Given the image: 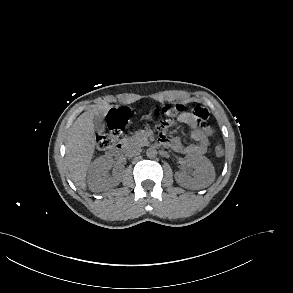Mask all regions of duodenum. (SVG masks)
<instances>
[{
	"label": "duodenum",
	"mask_w": 293,
	"mask_h": 293,
	"mask_svg": "<svg viewBox=\"0 0 293 293\" xmlns=\"http://www.w3.org/2000/svg\"><path fill=\"white\" fill-rule=\"evenodd\" d=\"M127 148V142L122 139L117 142L109 151L108 154L111 156H119L125 153Z\"/></svg>",
	"instance_id": "duodenum-1"
}]
</instances>
